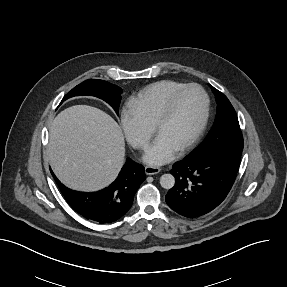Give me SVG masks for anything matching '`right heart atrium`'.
Here are the masks:
<instances>
[{
    "label": "right heart atrium",
    "instance_id": "d8ad5b80",
    "mask_svg": "<svg viewBox=\"0 0 287 287\" xmlns=\"http://www.w3.org/2000/svg\"><path fill=\"white\" fill-rule=\"evenodd\" d=\"M121 126L127 141L135 148L146 147L152 136V129L149 128L137 116L136 113L125 108L121 112Z\"/></svg>",
    "mask_w": 287,
    "mask_h": 287
}]
</instances>
